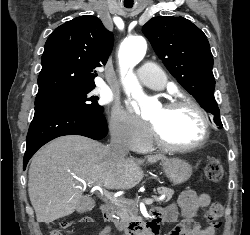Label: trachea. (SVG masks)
I'll use <instances>...</instances> for the list:
<instances>
[{
	"mask_svg": "<svg viewBox=\"0 0 250 235\" xmlns=\"http://www.w3.org/2000/svg\"><path fill=\"white\" fill-rule=\"evenodd\" d=\"M125 7L128 8V9L132 8V6H130V5H125Z\"/></svg>",
	"mask_w": 250,
	"mask_h": 235,
	"instance_id": "1",
	"label": "trachea"
}]
</instances>
